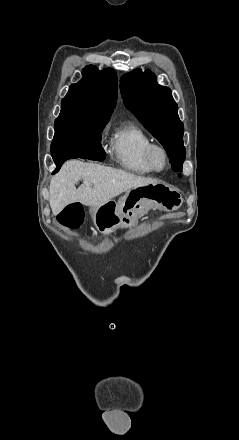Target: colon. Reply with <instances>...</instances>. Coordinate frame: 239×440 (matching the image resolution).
<instances>
[{"mask_svg": "<svg viewBox=\"0 0 239 440\" xmlns=\"http://www.w3.org/2000/svg\"><path fill=\"white\" fill-rule=\"evenodd\" d=\"M83 209L79 203L66 206L58 216V221L65 227L77 229L82 223Z\"/></svg>", "mask_w": 239, "mask_h": 440, "instance_id": "5ec220e1", "label": "colon"}]
</instances>
